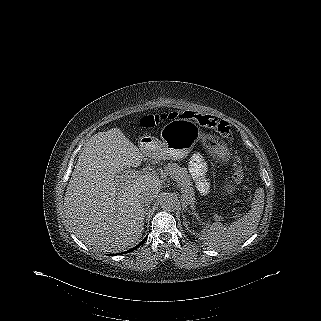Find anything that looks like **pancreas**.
Instances as JSON below:
<instances>
[{
    "label": "pancreas",
    "instance_id": "1",
    "mask_svg": "<svg viewBox=\"0 0 321 321\" xmlns=\"http://www.w3.org/2000/svg\"><path fill=\"white\" fill-rule=\"evenodd\" d=\"M167 174L176 179L177 183L181 187L183 196L186 203L194 206V192L190 176L185 168L180 167L176 163H170L165 167Z\"/></svg>",
    "mask_w": 321,
    "mask_h": 321
}]
</instances>
